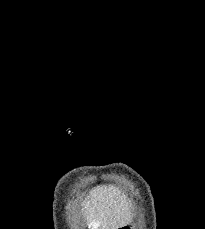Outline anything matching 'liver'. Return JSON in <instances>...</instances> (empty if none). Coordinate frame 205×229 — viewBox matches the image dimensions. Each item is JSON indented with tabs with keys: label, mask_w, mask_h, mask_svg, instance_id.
<instances>
[{
	"label": "liver",
	"mask_w": 205,
	"mask_h": 229,
	"mask_svg": "<svg viewBox=\"0 0 205 229\" xmlns=\"http://www.w3.org/2000/svg\"><path fill=\"white\" fill-rule=\"evenodd\" d=\"M82 205L87 224L93 229H117L131 219L126 196L111 186L95 187Z\"/></svg>",
	"instance_id": "obj_1"
}]
</instances>
